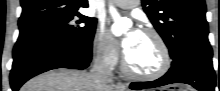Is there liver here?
Here are the masks:
<instances>
[{
	"instance_id": "liver-1",
	"label": "liver",
	"mask_w": 220,
	"mask_h": 91,
	"mask_svg": "<svg viewBox=\"0 0 220 91\" xmlns=\"http://www.w3.org/2000/svg\"><path fill=\"white\" fill-rule=\"evenodd\" d=\"M101 89V90H98ZM20 91H115L112 85L97 88L90 73L60 68L36 76L26 82Z\"/></svg>"
}]
</instances>
